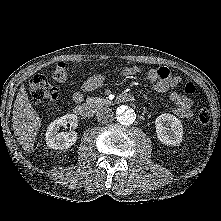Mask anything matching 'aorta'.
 Instances as JSON below:
<instances>
[{
    "mask_svg": "<svg viewBox=\"0 0 221 221\" xmlns=\"http://www.w3.org/2000/svg\"><path fill=\"white\" fill-rule=\"evenodd\" d=\"M135 111L128 107H119L117 109V120L120 124L129 126L135 122Z\"/></svg>",
    "mask_w": 221,
    "mask_h": 221,
    "instance_id": "aorta-1",
    "label": "aorta"
}]
</instances>
